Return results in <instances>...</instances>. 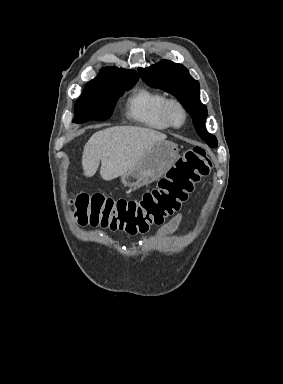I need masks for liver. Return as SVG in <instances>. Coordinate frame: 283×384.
Masks as SVG:
<instances>
[{"instance_id": "obj_1", "label": "liver", "mask_w": 283, "mask_h": 384, "mask_svg": "<svg viewBox=\"0 0 283 384\" xmlns=\"http://www.w3.org/2000/svg\"><path fill=\"white\" fill-rule=\"evenodd\" d=\"M166 134L137 128V126H114L96 132L84 146L82 168L84 176L96 174L100 162V176L106 182L115 180L132 170L148 148L156 142H164Z\"/></svg>"}]
</instances>
